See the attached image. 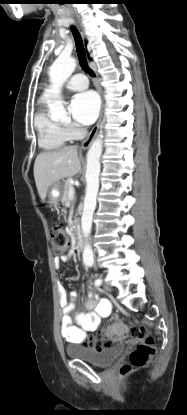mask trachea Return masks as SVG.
I'll return each instance as SVG.
<instances>
[{"mask_svg": "<svg viewBox=\"0 0 187 415\" xmlns=\"http://www.w3.org/2000/svg\"><path fill=\"white\" fill-rule=\"evenodd\" d=\"M72 33L75 39L76 51H77L79 63L85 72H87L90 76L94 77L95 73L88 66L82 37L79 31L75 27H72Z\"/></svg>", "mask_w": 187, "mask_h": 415, "instance_id": "3493384b", "label": "trachea"}]
</instances>
